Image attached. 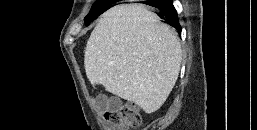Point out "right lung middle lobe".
Masks as SVG:
<instances>
[{
	"instance_id": "right-lung-middle-lobe-1",
	"label": "right lung middle lobe",
	"mask_w": 257,
	"mask_h": 130,
	"mask_svg": "<svg viewBox=\"0 0 257 130\" xmlns=\"http://www.w3.org/2000/svg\"><path fill=\"white\" fill-rule=\"evenodd\" d=\"M114 3V0H96L89 14L85 17V24L89 25L91 21H93L98 15H100Z\"/></svg>"
}]
</instances>
